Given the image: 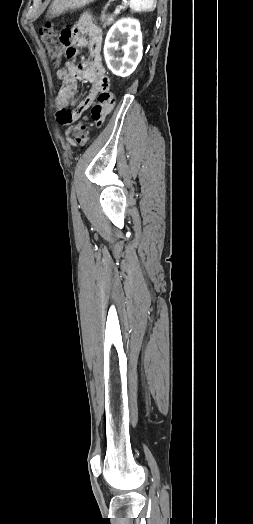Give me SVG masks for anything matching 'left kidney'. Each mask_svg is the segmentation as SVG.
Masks as SVG:
<instances>
[{"label":"left kidney","mask_w":253,"mask_h":524,"mask_svg":"<svg viewBox=\"0 0 253 524\" xmlns=\"http://www.w3.org/2000/svg\"><path fill=\"white\" fill-rule=\"evenodd\" d=\"M119 41L123 42L121 48ZM120 49L124 53L123 57H115ZM142 50L140 23L135 19H121L107 33L104 57L108 68L117 76L127 77L135 71L142 59Z\"/></svg>","instance_id":"obj_1"}]
</instances>
